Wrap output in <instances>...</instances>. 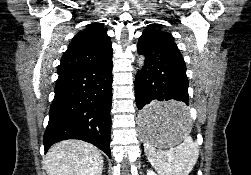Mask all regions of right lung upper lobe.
<instances>
[{"mask_svg":"<svg viewBox=\"0 0 251 175\" xmlns=\"http://www.w3.org/2000/svg\"><path fill=\"white\" fill-rule=\"evenodd\" d=\"M111 56L112 46L107 28L102 23H91L73 37L62 56L58 72L104 63Z\"/></svg>","mask_w":251,"mask_h":175,"instance_id":"right-lung-upper-lobe-1","label":"right lung upper lobe"}]
</instances>
